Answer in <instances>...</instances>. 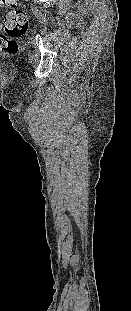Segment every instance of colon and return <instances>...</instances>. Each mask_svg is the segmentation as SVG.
<instances>
[{"instance_id":"obj_1","label":"colon","mask_w":131,"mask_h":311,"mask_svg":"<svg viewBox=\"0 0 131 311\" xmlns=\"http://www.w3.org/2000/svg\"><path fill=\"white\" fill-rule=\"evenodd\" d=\"M11 7L0 19V52L16 53L18 43L16 39L27 30L28 18L24 10L15 7V0H0V7Z\"/></svg>"}]
</instances>
